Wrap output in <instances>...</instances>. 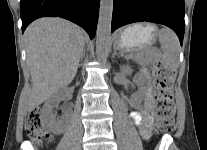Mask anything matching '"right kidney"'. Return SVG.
<instances>
[{
	"mask_svg": "<svg viewBox=\"0 0 207 150\" xmlns=\"http://www.w3.org/2000/svg\"><path fill=\"white\" fill-rule=\"evenodd\" d=\"M68 94L66 88H62L52 95L43 106V118L47 128L54 134H61L63 132L62 121L56 119L55 108L65 99Z\"/></svg>",
	"mask_w": 207,
	"mask_h": 150,
	"instance_id": "ca27d5eb",
	"label": "right kidney"
}]
</instances>
